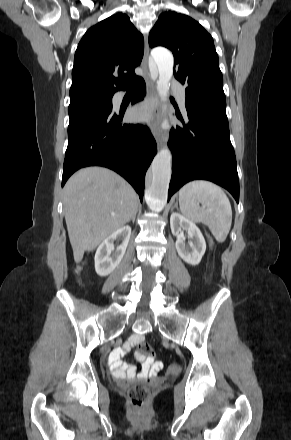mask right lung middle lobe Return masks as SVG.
I'll list each match as a JSON object with an SVG mask.
<instances>
[{
    "label": "right lung middle lobe",
    "mask_w": 291,
    "mask_h": 440,
    "mask_svg": "<svg viewBox=\"0 0 291 440\" xmlns=\"http://www.w3.org/2000/svg\"><path fill=\"white\" fill-rule=\"evenodd\" d=\"M112 96H106V97H86V98H83V99H80V100H88V101H90V100H96V101H104V102H107V103H109V99L111 98ZM77 101V100H76Z\"/></svg>",
    "instance_id": "right-lung-middle-lobe-1"
}]
</instances>
